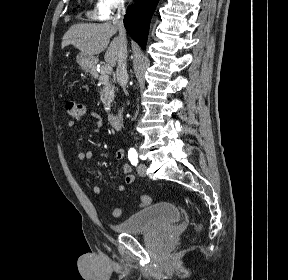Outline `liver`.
I'll list each match as a JSON object with an SVG mask.
<instances>
[{
  "instance_id": "6515ba94",
  "label": "liver",
  "mask_w": 288,
  "mask_h": 280,
  "mask_svg": "<svg viewBox=\"0 0 288 280\" xmlns=\"http://www.w3.org/2000/svg\"><path fill=\"white\" fill-rule=\"evenodd\" d=\"M117 30V27L110 22L76 24L65 33L61 46L64 48L71 44L90 56L98 55L107 48L104 59L110 65L115 66L121 41L119 37H116L110 43V39Z\"/></svg>"
}]
</instances>
